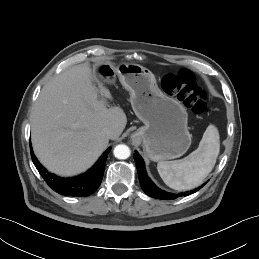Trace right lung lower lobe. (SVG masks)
I'll list each match as a JSON object with an SVG mask.
<instances>
[{
	"instance_id": "obj_1",
	"label": "right lung lower lobe",
	"mask_w": 259,
	"mask_h": 259,
	"mask_svg": "<svg viewBox=\"0 0 259 259\" xmlns=\"http://www.w3.org/2000/svg\"><path fill=\"white\" fill-rule=\"evenodd\" d=\"M31 158L38 172L55 192L73 197H85L94 193L100 186L107 155L111 150L108 148L97 163L86 173L72 178H61L47 171L38 161L31 148Z\"/></svg>"
}]
</instances>
